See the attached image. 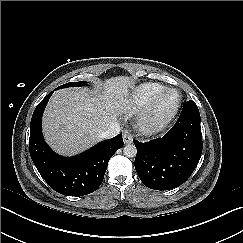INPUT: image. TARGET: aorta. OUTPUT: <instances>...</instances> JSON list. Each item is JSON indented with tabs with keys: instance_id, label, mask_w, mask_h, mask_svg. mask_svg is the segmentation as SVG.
Masks as SVG:
<instances>
[{
	"instance_id": "762f6f07",
	"label": "aorta",
	"mask_w": 243,
	"mask_h": 243,
	"mask_svg": "<svg viewBox=\"0 0 243 243\" xmlns=\"http://www.w3.org/2000/svg\"><path fill=\"white\" fill-rule=\"evenodd\" d=\"M123 153L126 157L129 158H133L136 156L137 154V149L136 146L134 144H127L124 148H123Z\"/></svg>"
}]
</instances>
